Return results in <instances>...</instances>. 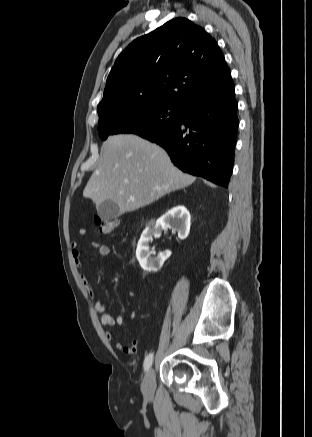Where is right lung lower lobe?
<instances>
[{
    "label": "right lung lower lobe",
    "mask_w": 312,
    "mask_h": 437,
    "mask_svg": "<svg viewBox=\"0 0 312 437\" xmlns=\"http://www.w3.org/2000/svg\"><path fill=\"white\" fill-rule=\"evenodd\" d=\"M230 79L182 108L178 123L146 139L157 143L182 171L228 187L237 140V101Z\"/></svg>",
    "instance_id": "98d812e1"
}]
</instances>
